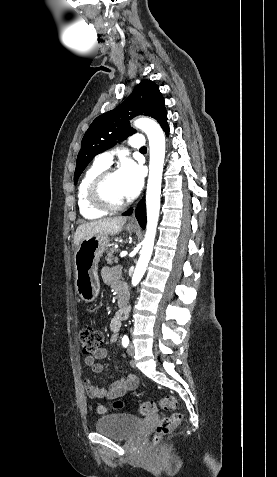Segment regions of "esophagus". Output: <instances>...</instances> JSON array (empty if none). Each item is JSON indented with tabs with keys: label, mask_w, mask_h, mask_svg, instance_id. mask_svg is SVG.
I'll return each instance as SVG.
<instances>
[{
	"label": "esophagus",
	"mask_w": 277,
	"mask_h": 477,
	"mask_svg": "<svg viewBox=\"0 0 277 477\" xmlns=\"http://www.w3.org/2000/svg\"><path fill=\"white\" fill-rule=\"evenodd\" d=\"M129 222H130V224H136V223H137V221H136V219H135L134 217L131 218V220H130Z\"/></svg>",
	"instance_id": "esophagus-1"
}]
</instances>
